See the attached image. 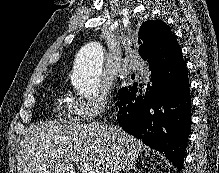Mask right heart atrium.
<instances>
[{
  "label": "right heart atrium",
  "mask_w": 219,
  "mask_h": 173,
  "mask_svg": "<svg viewBox=\"0 0 219 173\" xmlns=\"http://www.w3.org/2000/svg\"><path fill=\"white\" fill-rule=\"evenodd\" d=\"M108 102L107 90L90 99L73 98L70 102V113L79 121H88L104 113Z\"/></svg>",
  "instance_id": "obj_1"
}]
</instances>
